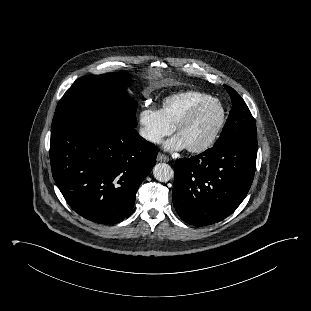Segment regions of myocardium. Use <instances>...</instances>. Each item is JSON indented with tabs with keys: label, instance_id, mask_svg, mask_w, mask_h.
<instances>
[{
	"label": "myocardium",
	"instance_id": "myocardium-1",
	"mask_svg": "<svg viewBox=\"0 0 311 311\" xmlns=\"http://www.w3.org/2000/svg\"><path fill=\"white\" fill-rule=\"evenodd\" d=\"M216 104L219 107V118L218 121L210 134V136L207 138L205 142L198 146H188L186 149L191 153H202L211 148L214 143L216 142L217 138L219 137V134L221 133L225 121H226V111L223 106V104L220 102V100L216 98H210L205 101H202L198 103L196 106H194L192 109H190L176 124L175 131L178 134L185 126H187L198 114L201 110H203L206 106L209 104Z\"/></svg>",
	"mask_w": 311,
	"mask_h": 311
}]
</instances>
